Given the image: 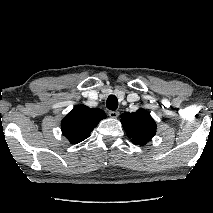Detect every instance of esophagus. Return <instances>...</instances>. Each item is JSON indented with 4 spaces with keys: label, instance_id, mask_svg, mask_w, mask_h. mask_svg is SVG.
Masks as SVG:
<instances>
[{
    "label": "esophagus",
    "instance_id": "1",
    "mask_svg": "<svg viewBox=\"0 0 213 213\" xmlns=\"http://www.w3.org/2000/svg\"><path fill=\"white\" fill-rule=\"evenodd\" d=\"M108 115L111 117V118H117L119 116V112L118 111H109L108 112Z\"/></svg>",
    "mask_w": 213,
    "mask_h": 213
}]
</instances>
